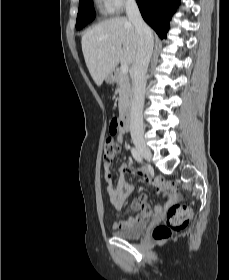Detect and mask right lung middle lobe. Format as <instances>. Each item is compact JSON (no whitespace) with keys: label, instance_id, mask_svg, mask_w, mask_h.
Wrapping results in <instances>:
<instances>
[{"label":"right lung middle lobe","instance_id":"obj_1","mask_svg":"<svg viewBox=\"0 0 229 280\" xmlns=\"http://www.w3.org/2000/svg\"><path fill=\"white\" fill-rule=\"evenodd\" d=\"M95 18L93 0H80L76 29H81Z\"/></svg>","mask_w":229,"mask_h":280}]
</instances>
